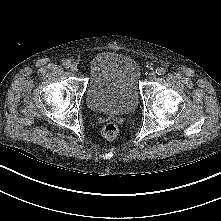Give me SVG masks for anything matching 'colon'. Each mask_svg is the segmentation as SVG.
<instances>
[{
    "label": "colon",
    "instance_id": "1",
    "mask_svg": "<svg viewBox=\"0 0 221 221\" xmlns=\"http://www.w3.org/2000/svg\"><path fill=\"white\" fill-rule=\"evenodd\" d=\"M119 134L118 126L113 122L106 123L102 128V135L107 140L115 139Z\"/></svg>",
    "mask_w": 221,
    "mask_h": 221
}]
</instances>
